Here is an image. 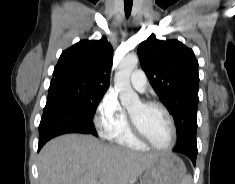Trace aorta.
I'll return each instance as SVG.
<instances>
[{
	"label": "aorta",
	"mask_w": 235,
	"mask_h": 184,
	"mask_svg": "<svg viewBox=\"0 0 235 184\" xmlns=\"http://www.w3.org/2000/svg\"><path fill=\"white\" fill-rule=\"evenodd\" d=\"M137 64V56H126V58L121 60L117 72H115V90H117L120 102L124 108H129V106H134V104L140 106L141 104L138 94L132 90L130 84L131 72L134 68H137Z\"/></svg>",
	"instance_id": "762f6f07"
}]
</instances>
